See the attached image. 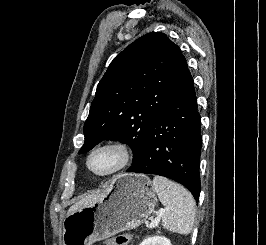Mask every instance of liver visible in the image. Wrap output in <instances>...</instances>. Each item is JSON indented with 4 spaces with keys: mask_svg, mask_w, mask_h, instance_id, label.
I'll list each match as a JSON object with an SVG mask.
<instances>
[{
    "mask_svg": "<svg viewBox=\"0 0 266 245\" xmlns=\"http://www.w3.org/2000/svg\"><path fill=\"white\" fill-rule=\"evenodd\" d=\"M107 193H109L108 189L104 191V193H100V195H87V197H83L81 201H78V203H75V205H72L70 207L67 215H71V213H75V211H81V209H84V207H89V205H94V203H100L102 199H105Z\"/></svg>",
    "mask_w": 266,
    "mask_h": 245,
    "instance_id": "liver-1",
    "label": "liver"
}]
</instances>
